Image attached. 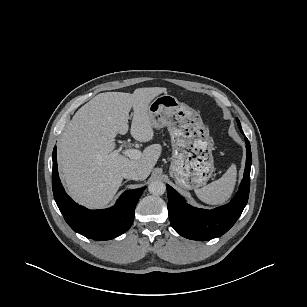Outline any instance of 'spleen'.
<instances>
[{"instance_id": "spleen-1", "label": "spleen", "mask_w": 307, "mask_h": 307, "mask_svg": "<svg viewBox=\"0 0 307 307\" xmlns=\"http://www.w3.org/2000/svg\"><path fill=\"white\" fill-rule=\"evenodd\" d=\"M237 170L232 164L222 177L200 189H195L197 197L209 205L225 203L233 193L236 184Z\"/></svg>"}]
</instances>
